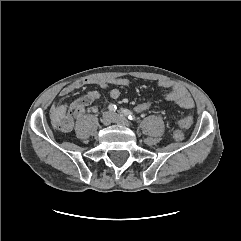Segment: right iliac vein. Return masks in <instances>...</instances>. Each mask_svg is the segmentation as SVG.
Instances as JSON below:
<instances>
[{
	"instance_id": "1",
	"label": "right iliac vein",
	"mask_w": 241,
	"mask_h": 241,
	"mask_svg": "<svg viewBox=\"0 0 241 241\" xmlns=\"http://www.w3.org/2000/svg\"><path fill=\"white\" fill-rule=\"evenodd\" d=\"M114 120V114L110 112H106L103 114V117L101 119L104 126L110 125Z\"/></svg>"
}]
</instances>
